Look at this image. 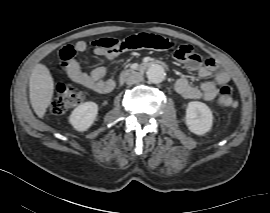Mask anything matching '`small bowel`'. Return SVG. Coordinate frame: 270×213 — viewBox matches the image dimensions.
Instances as JSON below:
<instances>
[{
    "label": "small bowel",
    "mask_w": 270,
    "mask_h": 213,
    "mask_svg": "<svg viewBox=\"0 0 270 213\" xmlns=\"http://www.w3.org/2000/svg\"><path fill=\"white\" fill-rule=\"evenodd\" d=\"M93 47L94 54L105 60H112L125 51L121 41L111 37H98L89 43L78 41L75 45H65L59 51L62 61H67L66 73L68 77L76 83L93 90L98 94H106L115 87V81L105 78L106 70L102 66L91 69L88 73L82 71L76 54L83 53L88 47ZM174 48V47H172ZM192 49L185 55L183 60L186 68L195 72L202 80L199 86L192 85L186 78L180 77L175 82V90L187 99L204 98L214 99L220 86L227 85L231 81L228 71L219 67L214 59H209L207 63H196L191 59ZM213 76V79L211 77Z\"/></svg>",
    "instance_id": "small-bowel-1"
}]
</instances>
